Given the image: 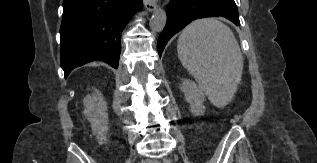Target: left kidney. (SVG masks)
<instances>
[{
    "label": "left kidney",
    "mask_w": 317,
    "mask_h": 163,
    "mask_svg": "<svg viewBox=\"0 0 317 163\" xmlns=\"http://www.w3.org/2000/svg\"><path fill=\"white\" fill-rule=\"evenodd\" d=\"M181 90L184 93L185 100L191 105L192 113L202 115L205 108L203 105L205 101L203 90L194 81L188 79L183 80Z\"/></svg>",
    "instance_id": "left-kidney-1"
}]
</instances>
